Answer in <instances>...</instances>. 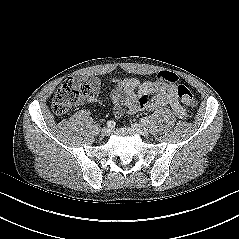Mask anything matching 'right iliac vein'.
Masks as SVG:
<instances>
[{"label":"right iliac vein","instance_id":"1","mask_svg":"<svg viewBox=\"0 0 239 239\" xmlns=\"http://www.w3.org/2000/svg\"><path fill=\"white\" fill-rule=\"evenodd\" d=\"M111 133V128L110 127H103L101 129V134L103 136H108Z\"/></svg>","mask_w":239,"mask_h":239}]
</instances>
